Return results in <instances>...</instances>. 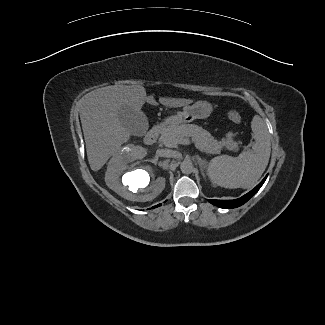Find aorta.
Listing matches in <instances>:
<instances>
[{"label":"aorta","instance_id":"1","mask_svg":"<svg viewBox=\"0 0 325 325\" xmlns=\"http://www.w3.org/2000/svg\"><path fill=\"white\" fill-rule=\"evenodd\" d=\"M180 169H181L182 173L190 174L192 172V169H193V164L189 160H184L180 164Z\"/></svg>","mask_w":325,"mask_h":325}]
</instances>
